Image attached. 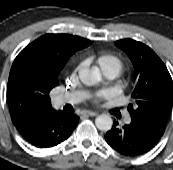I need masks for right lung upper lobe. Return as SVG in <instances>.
<instances>
[{"label":"right lung upper lobe","mask_w":173,"mask_h":170,"mask_svg":"<svg viewBox=\"0 0 173 170\" xmlns=\"http://www.w3.org/2000/svg\"><path fill=\"white\" fill-rule=\"evenodd\" d=\"M91 41L66 34H46L15 58L8 80L7 99L12 122L54 110L49 97L58 75L76 51Z\"/></svg>","instance_id":"right-lung-upper-lobe-1"}]
</instances>
